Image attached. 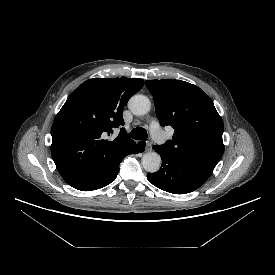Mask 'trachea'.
<instances>
[{"mask_svg": "<svg viewBox=\"0 0 275 275\" xmlns=\"http://www.w3.org/2000/svg\"><path fill=\"white\" fill-rule=\"evenodd\" d=\"M130 137L136 140H143L146 141L147 140V131L145 128L142 127H137L134 128L131 132H130Z\"/></svg>", "mask_w": 275, "mask_h": 275, "instance_id": "obj_1", "label": "trachea"}]
</instances>
